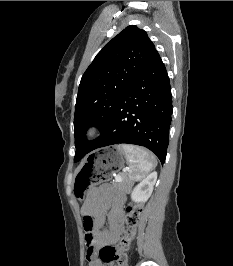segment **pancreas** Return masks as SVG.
<instances>
[{
	"label": "pancreas",
	"instance_id": "1",
	"mask_svg": "<svg viewBox=\"0 0 233 266\" xmlns=\"http://www.w3.org/2000/svg\"><path fill=\"white\" fill-rule=\"evenodd\" d=\"M129 184V181L128 180H126V181H121L120 183H118V186L119 187H124V186H126V185H128Z\"/></svg>",
	"mask_w": 233,
	"mask_h": 266
}]
</instances>
